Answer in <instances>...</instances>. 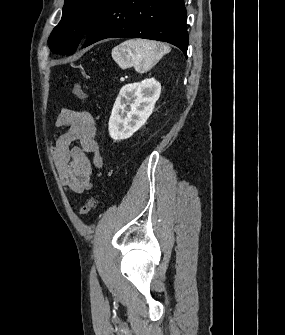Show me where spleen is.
Instances as JSON below:
<instances>
[{
	"instance_id": "3e777b00",
	"label": "spleen",
	"mask_w": 285,
	"mask_h": 335,
	"mask_svg": "<svg viewBox=\"0 0 285 335\" xmlns=\"http://www.w3.org/2000/svg\"><path fill=\"white\" fill-rule=\"evenodd\" d=\"M171 52L169 46L153 40H126L112 50V58L120 68L134 66L137 72H145L155 66L164 54Z\"/></svg>"
}]
</instances>
